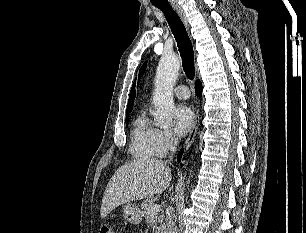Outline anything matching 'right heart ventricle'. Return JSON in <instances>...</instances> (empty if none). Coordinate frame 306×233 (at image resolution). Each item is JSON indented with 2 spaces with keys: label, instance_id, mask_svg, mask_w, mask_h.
Instances as JSON below:
<instances>
[{
  "label": "right heart ventricle",
  "instance_id": "e07e8e85",
  "mask_svg": "<svg viewBox=\"0 0 306 233\" xmlns=\"http://www.w3.org/2000/svg\"><path fill=\"white\" fill-rule=\"evenodd\" d=\"M156 128L145 112L135 118L130 135L129 152L137 159H148L156 155Z\"/></svg>",
  "mask_w": 306,
  "mask_h": 233
}]
</instances>
